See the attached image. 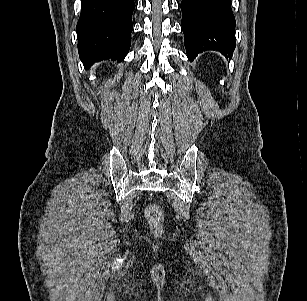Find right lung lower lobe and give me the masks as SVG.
I'll return each instance as SVG.
<instances>
[{"mask_svg":"<svg viewBox=\"0 0 307 301\" xmlns=\"http://www.w3.org/2000/svg\"><path fill=\"white\" fill-rule=\"evenodd\" d=\"M134 8V0H81L76 31L85 68L101 60L125 58L131 45Z\"/></svg>","mask_w":307,"mask_h":301,"instance_id":"98d812e1","label":"right lung lower lobe"}]
</instances>
